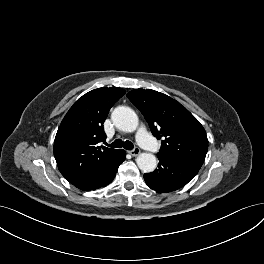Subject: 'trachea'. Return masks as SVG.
<instances>
[{
    "label": "trachea",
    "instance_id": "obj_1",
    "mask_svg": "<svg viewBox=\"0 0 264 264\" xmlns=\"http://www.w3.org/2000/svg\"><path fill=\"white\" fill-rule=\"evenodd\" d=\"M108 146L113 148H125L127 150H132L134 148V145L130 141H122L121 139H116L113 143L109 144Z\"/></svg>",
    "mask_w": 264,
    "mask_h": 264
}]
</instances>
